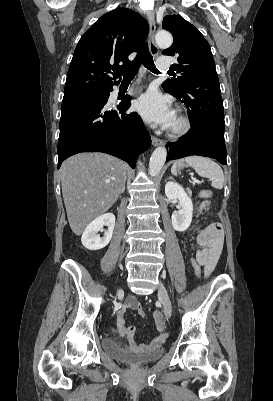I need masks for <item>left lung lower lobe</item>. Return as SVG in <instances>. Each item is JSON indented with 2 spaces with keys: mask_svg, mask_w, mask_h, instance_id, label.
Segmentation results:
<instances>
[{
  "mask_svg": "<svg viewBox=\"0 0 273 401\" xmlns=\"http://www.w3.org/2000/svg\"><path fill=\"white\" fill-rule=\"evenodd\" d=\"M187 108L191 130L179 141L168 143L167 161L190 155L207 156L226 165L224 108L220 93L205 89L174 95Z\"/></svg>",
  "mask_w": 273,
  "mask_h": 401,
  "instance_id": "obj_1",
  "label": "left lung lower lobe"
}]
</instances>
